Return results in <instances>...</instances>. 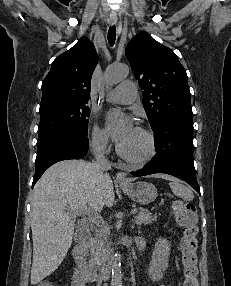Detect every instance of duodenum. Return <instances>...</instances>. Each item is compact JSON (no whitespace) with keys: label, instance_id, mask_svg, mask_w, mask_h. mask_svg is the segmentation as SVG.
Instances as JSON below:
<instances>
[{"label":"duodenum","instance_id":"duodenum-1","mask_svg":"<svg viewBox=\"0 0 231 286\" xmlns=\"http://www.w3.org/2000/svg\"><path fill=\"white\" fill-rule=\"evenodd\" d=\"M89 244L90 235L89 233L85 232L80 236L78 243L73 249V260L87 282L106 281L109 278V269L104 268L102 270H97L93 266H91L86 260V253ZM143 245V242L140 240L139 247L142 248ZM134 257L135 256L131 254L126 257L127 266L131 265V262Z\"/></svg>","mask_w":231,"mask_h":286}]
</instances>
